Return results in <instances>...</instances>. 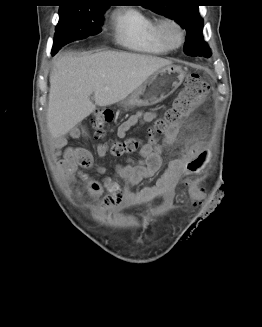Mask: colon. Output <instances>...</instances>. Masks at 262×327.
Segmentation results:
<instances>
[{"mask_svg": "<svg viewBox=\"0 0 262 327\" xmlns=\"http://www.w3.org/2000/svg\"><path fill=\"white\" fill-rule=\"evenodd\" d=\"M209 90V84L199 74H191L164 116L154 123L150 137L166 133L189 117L205 101ZM90 120L96 139H103L105 137V126L113 121V113L110 110H98L92 114ZM103 144L106 151L114 156L134 153L141 147L140 141L135 138ZM201 162L202 159L199 160V166Z\"/></svg>", "mask_w": 262, "mask_h": 327, "instance_id": "5ec220e1", "label": "colon"}]
</instances>
